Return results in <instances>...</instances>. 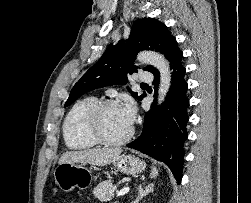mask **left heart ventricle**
I'll list each match as a JSON object with an SVG mask.
<instances>
[{
  "label": "left heart ventricle",
  "instance_id": "left-heart-ventricle-1",
  "mask_svg": "<svg viewBox=\"0 0 251 203\" xmlns=\"http://www.w3.org/2000/svg\"><path fill=\"white\" fill-rule=\"evenodd\" d=\"M101 128L108 138L119 139L129 132L131 125L124 117L120 106H111L102 114Z\"/></svg>",
  "mask_w": 251,
  "mask_h": 203
}]
</instances>
